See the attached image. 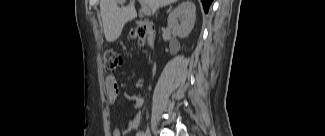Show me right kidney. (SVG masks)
Returning a JSON list of instances; mask_svg holds the SVG:
<instances>
[{"instance_id": "obj_1", "label": "right kidney", "mask_w": 325, "mask_h": 136, "mask_svg": "<svg viewBox=\"0 0 325 136\" xmlns=\"http://www.w3.org/2000/svg\"><path fill=\"white\" fill-rule=\"evenodd\" d=\"M196 20V7L191 0L179 4L168 17V27L180 38H186L192 31Z\"/></svg>"}]
</instances>
